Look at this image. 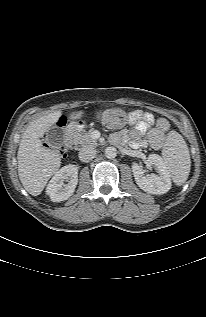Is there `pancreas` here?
<instances>
[{"mask_svg":"<svg viewBox=\"0 0 206 317\" xmlns=\"http://www.w3.org/2000/svg\"><path fill=\"white\" fill-rule=\"evenodd\" d=\"M93 129L86 132H79L76 130L72 131L71 139L74 144H80L83 147L86 146H96L97 141L92 138Z\"/></svg>","mask_w":206,"mask_h":317,"instance_id":"obj_1","label":"pancreas"}]
</instances>
